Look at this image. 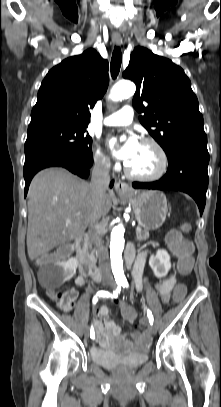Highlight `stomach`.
Returning a JSON list of instances; mask_svg holds the SVG:
<instances>
[{
	"label": "stomach",
	"mask_w": 221,
	"mask_h": 407,
	"mask_svg": "<svg viewBox=\"0 0 221 407\" xmlns=\"http://www.w3.org/2000/svg\"><path fill=\"white\" fill-rule=\"evenodd\" d=\"M133 205L136 220L146 230L162 226L167 216L166 196L157 190L132 192L126 196Z\"/></svg>",
	"instance_id": "stomach-1"
}]
</instances>
